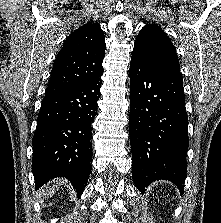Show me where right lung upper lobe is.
<instances>
[{"label": "right lung upper lobe", "instance_id": "cb5924a9", "mask_svg": "<svg viewBox=\"0 0 221 223\" xmlns=\"http://www.w3.org/2000/svg\"><path fill=\"white\" fill-rule=\"evenodd\" d=\"M104 33L98 23H86L67 37L51 71L46 95L77 86L103 72Z\"/></svg>", "mask_w": 221, "mask_h": 223}]
</instances>
